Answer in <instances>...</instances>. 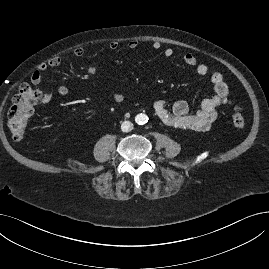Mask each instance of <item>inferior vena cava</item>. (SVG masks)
<instances>
[{
    "instance_id": "602c4592",
    "label": "inferior vena cava",
    "mask_w": 269,
    "mask_h": 269,
    "mask_svg": "<svg viewBox=\"0 0 269 269\" xmlns=\"http://www.w3.org/2000/svg\"><path fill=\"white\" fill-rule=\"evenodd\" d=\"M133 129V124L130 121H124L121 125V130L123 132H129Z\"/></svg>"
}]
</instances>
